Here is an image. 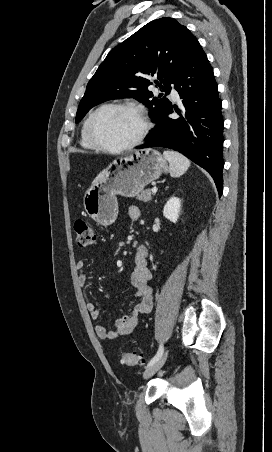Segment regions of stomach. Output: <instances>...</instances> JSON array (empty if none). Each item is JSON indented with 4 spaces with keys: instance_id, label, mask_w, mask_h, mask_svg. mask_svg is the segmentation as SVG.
<instances>
[{
    "instance_id": "stomach-1",
    "label": "stomach",
    "mask_w": 272,
    "mask_h": 452,
    "mask_svg": "<svg viewBox=\"0 0 272 452\" xmlns=\"http://www.w3.org/2000/svg\"><path fill=\"white\" fill-rule=\"evenodd\" d=\"M166 170L165 158L151 148L115 159L102 180L85 192L86 213L99 225L113 224L118 216L116 196L134 197Z\"/></svg>"
}]
</instances>
